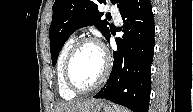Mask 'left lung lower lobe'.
Listing matches in <instances>:
<instances>
[{
	"instance_id": "obj_1",
	"label": "left lung lower lobe",
	"mask_w": 193,
	"mask_h": 112,
	"mask_svg": "<svg viewBox=\"0 0 193 112\" xmlns=\"http://www.w3.org/2000/svg\"><path fill=\"white\" fill-rule=\"evenodd\" d=\"M120 14L123 25L119 30L124 35L116 39L110 77L94 98L107 99L134 112H148L155 45L151 2L131 0Z\"/></svg>"
}]
</instances>
